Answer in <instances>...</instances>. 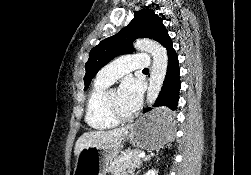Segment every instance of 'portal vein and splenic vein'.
<instances>
[{
  "instance_id": "18ae733b",
  "label": "portal vein and splenic vein",
  "mask_w": 251,
  "mask_h": 175,
  "mask_svg": "<svg viewBox=\"0 0 251 175\" xmlns=\"http://www.w3.org/2000/svg\"><path fill=\"white\" fill-rule=\"evenodd\" d=\"M140 157H145V153H138V155L135 156V159L139 160Z\"/></svg>"
}]
</instances>
